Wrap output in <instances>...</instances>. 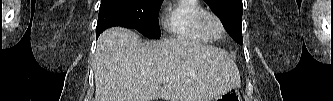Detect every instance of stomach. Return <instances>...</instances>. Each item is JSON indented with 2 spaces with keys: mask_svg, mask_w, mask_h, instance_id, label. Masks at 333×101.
Listing matches in <instances>:
<instances>
[{
  "mask_svg": "<svg viewBox=\"0 0 333 101\" xmlns=\"http://www.w3.org/2000/svg\"><path fill=\"white\" fill-rule=\"evenodd\" d=\"M214 101H241V97L239 92L233 88L215 98Z\"/></svg>",
  "mask_w": 333,
  "mask_h": 101,
  "instance_id": "obj_1",
  "label": "stomach"
}]
</instances>
